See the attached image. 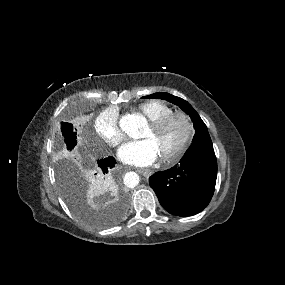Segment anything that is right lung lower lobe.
Here are the masks:
<instances>
[{
	"label": "right lung lower lobe",
	"instance_id": "right-lung-lower-lobe-1",
	"mask_svg": "<svg viewBox=\"0 0 285 285\" xmlns=\"http://www.w3.org/2000/svg\"><path fill=\"white\" fill-rule=\"evenodd\" d=\"M115 159L109 156L104 159L97 160L98 169L101 173V182L105 184L111 183L112 168L115 166ZM125 199L123 198V202Z\"/></svg>",
	"mask_w": 285,
	"mask_h": 285
}]
</instances>
